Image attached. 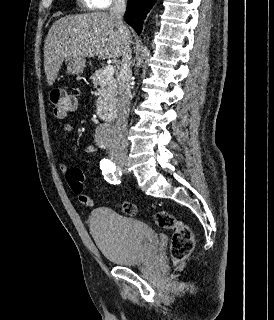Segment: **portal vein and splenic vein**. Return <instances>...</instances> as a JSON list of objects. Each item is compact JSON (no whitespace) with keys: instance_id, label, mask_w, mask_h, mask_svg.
<instances>
[{"instance_id":"18ae733b","label":"portal vein and splenic vein","mask_w":274,"mask_h":320,"mask_svg":"<svg viewBox=\"0 0 274 320\" xmlns=\"http://www.w3.org/2000/svg\"><path fill=\"white\" fill-rule=\"evenodd\" d=\"M103 74H106V76H108V78H109V76H113V74H114L113 66H106V68H104V70H103Z\"/></svg>"}]
</instances>
